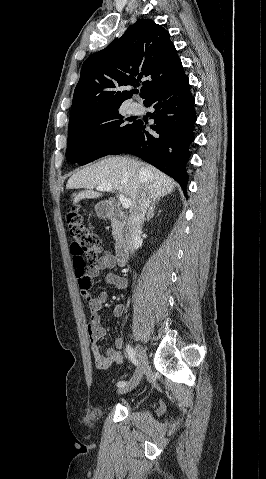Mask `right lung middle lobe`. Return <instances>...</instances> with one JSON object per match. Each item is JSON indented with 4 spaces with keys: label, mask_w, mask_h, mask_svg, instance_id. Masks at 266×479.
<instances>
[{
    "label": "right lung middle lobe",
    "mask_w": 266,
    "mask_h": 479,
    "mask_svg": "<svg viewBox=\"0 0 266 479\" xmlns=\"http://www.w3.org/2000/svg\"><path fill=\"white\" fill-rule=\"evenodd\" d=\"M133 126L134 122L125 123L118 108L69 121L66 158L84 165L104 157L120 144Z\"/></svg>",
    "instance_id": "1"
}]
</instances>
